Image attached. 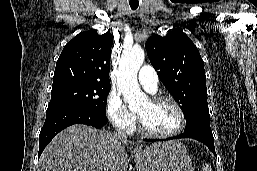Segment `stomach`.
Segmentation results:
<instances>
[{
  "instance_id": "0dacf381",
  "label": "stomach",
  "mask_w": 257,
  "mask_h": 171,
  "mask_svg": "<svg viewBox=\"0 0 257 171\" xmlns=\"http://www.w3.org/2000/svg\"><path fill=\"white\" fill-rule=\"evenodd\" d=\"M137 171H194L185 146L179 141L156 142L134 149Z\"/></svg>"
}]
</instances>
